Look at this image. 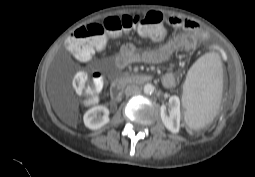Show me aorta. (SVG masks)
Here are the masks:
<instances>
[{
  "label": "aorta",
  "mask_w": 255,
  "mask_h": 177,
  "mask_svg": "<svg viewBox=\"0 0 255 177\" xmlns=\"http://www.w3.org/2000/svg\"><path fill=\"white\" fill-rule=\"evenodd\" d=\"M155 87L151 83H147L143 87V91L145 94H152L154 92Z\"/></svg>",
  "instance_id": "aorta-1"
}]
</instances>
